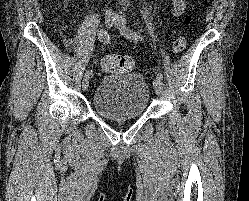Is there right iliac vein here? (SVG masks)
Instances as JSON below:
<instances>
[{
    "mask_svg": "<svg viewBox=\"0 0 249 201\" xmlns=\"http://www.w3.org/2000/svg\"><path fill=\"white\" fill-rule=\"evenodd\" d=\"M114 21H115V14L108 10L106 11V14H105V25L107 28H110L113 26L114 24ZM89 82H90V77H87L85 76L83 81H82V88L84 91H86L89 87Z\"/></svg>",
    "mask_w": 249,
    "mask_h": 201,
    "instance_id": "obj_1",
    "label": "right iliac vein"
}]
</instances>
